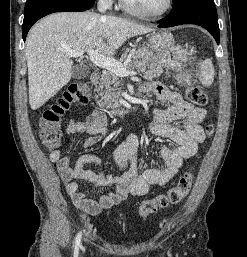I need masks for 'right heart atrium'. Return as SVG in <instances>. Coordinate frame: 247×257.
<instances>
[{"label":"right heart atrium","instance_id":"obj_1","mask_svg":"<svg viewBox=\"0 0 247 257\" xmlns=\"http://www.w3.org/2000/svg\"><path fill=\"white\" fill-rule=\"evenodd\" d=\"M100 2H101L103 5H105V6H107V7H110L111 5H113L114 0H100Z\"/></svg>","mask_w":247,"mask_h":257}]
</instances>
